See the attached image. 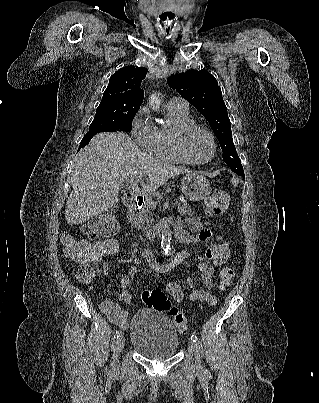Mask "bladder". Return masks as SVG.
I'll use <instances>...</instances> for the list:
<instances>
[{"instance_id":"1","label":"bladder","mask_w":319,"mask_h":403,"mask_svg":"<svg viewBox=\"0 0 319 403\" xmlns=\"http://www.w3.org/2000/svg\"><path fill=\"white\" fill-rule=\"evenodd\" d=\"M130 345L141 356L150 359L173 357L179 348L178 332L167 315L140 309L129 325Z\"/></svg>"}]
</instances>
